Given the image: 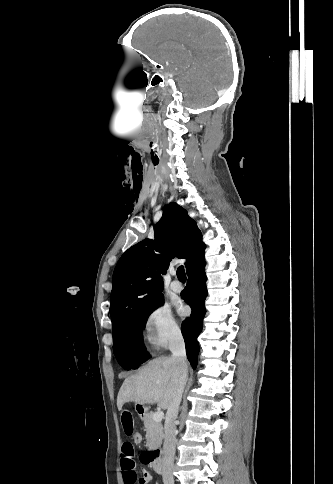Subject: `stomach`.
<instances>
[{
	"mask_svg": "<svg viewBox=\"0 0 333 484\" xmlns=\"http://www.w3.org/2000/svg\"><path fill=\"white\" fill-rule=\"evenodd\" d=\"M137 413L140 415V416H145L146 415V410L147 408L144 406V405H139L137 404L136 407H135Z\"/></svg>",
	"mask_w": 333,
	"mask_h": 484,
	"instance_id": "obj_1",
	"label": "stomach"
}]
</instances>
